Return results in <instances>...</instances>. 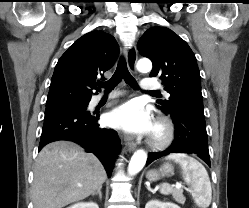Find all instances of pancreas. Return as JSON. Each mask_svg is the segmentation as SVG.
Returning a JSON list of instances; mask_svg holds the SVG:
<instances>
[{
	"mask_svg": "<svg viewBox=\"0 0 249 208\" xmlns=\"http://www.w3.org/2000/svg\"><path fill=\"white\" fill-rule=\"evenodd\" d=\"M172 196L175 199L176 202L180 204H184L186 198L183 195V190L182 189H173L172 190Z\"/></svg>",
	"mask_w": 249,
	"mask_h": 208,
	"instance_id": "1",
	"label": "pancreas"
}]
</instances>
